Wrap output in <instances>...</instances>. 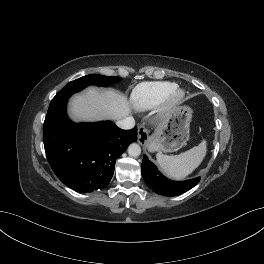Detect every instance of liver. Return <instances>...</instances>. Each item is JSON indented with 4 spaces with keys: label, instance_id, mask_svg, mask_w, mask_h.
Listing matches in <instances>:
<instances>
[{
    "label": "liver",
    "instance_id": "1",
    "mask_svg": "<svg viewBox=\"0 0 264 264\" xmlns=\"http://www.w3.org/2000/svg\"><path fill=\"white\" fill-rule=\"evenodd\" d=\"M130 112L127 98L114 90L90 88L75 95L70 102V116L75 121L118 120Z\"/></svg>",
    "mask_w": 264,
    "mask_h": 264
}]
</instances>
